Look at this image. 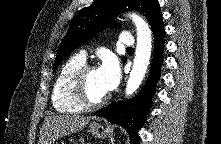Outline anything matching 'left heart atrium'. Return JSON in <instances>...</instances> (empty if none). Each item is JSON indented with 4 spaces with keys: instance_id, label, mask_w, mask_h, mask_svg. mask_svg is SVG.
<instances>
[{
    "instance_id": "obj_1",
    "label": "left heart atrium",
    "mask_w": 221,
    "mask_h": 144,
    "mask_svg": "<svg viewBox=\"0 0 221 144\" xmlns=\"http://www.w3.org/2000/svg\"><path fill=\"white\" fill-rule=\"evenodd\" d=\"M100 83L106 92L118 85L121 77L120 67L114 56H106L98 68Z\"/></svg>"
}]
</instances>
